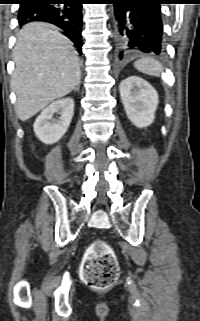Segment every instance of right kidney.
I'll return each instance as SVG.
<instances>
[{
    "mask_svg": "<svg viewBox=\"0 0 200 321\" xmlns=\"http://www.w3.org/2000/svg\"><path fill=\"white\" fill-rule=\"evenodd\" d=\"M74 113V101L67 97L52 102L36 118L33 125L36 136L45 144L59 141L68 130ZM54 114L60 115L54 119Z\"/></svg>",
    "mask_w": 200,
    "mask_h": 321,
    "instance_id": "ca27d5eb",
    "label": "right kidney"
}]
</instances>
